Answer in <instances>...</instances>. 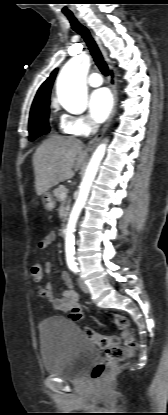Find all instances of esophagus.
Segmentation results:
<instances>
[{"instance_id": "obj_1", "label": "esophagus", "mask_w": 168, "mask_h": 415, "mask_svg": "<svg viewBox=\"0 0 168 415\" xmlns=\"http://www.w3.org/2000/svg\"><path fill=\"white\" fill-rule=\"evenodd\" d=\"M91 31V30H90ZM103 57L105 58L106 62L108 63L109 66V82H110V87L112 89V93H113V99H114V104H113V109L112 112L107 120V122L105 123V125L103 126V128L101 129V131L99 132V134L93 138L87 146L88 150H93L96 145L99 143V141L101 140V138L103 137L104 133L106 132V130L108 129V127L111 124V121L115 115L116 112V108H117V102H118V95H117V80H116V73H115V69L113 67V65L111 64L110 60L108 59L107 56V52L105 51V49L103 48L101 41L99 39V37L97 35H95L92 31H91Z\"/></svg>"}]
</instances>
